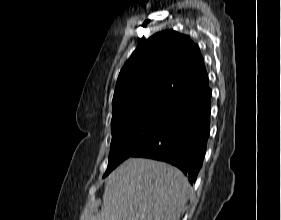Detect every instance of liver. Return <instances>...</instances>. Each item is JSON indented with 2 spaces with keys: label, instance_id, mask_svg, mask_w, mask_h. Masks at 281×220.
I'll list each match as a JSON object with an SVG mask.
<instances>
[{
  "label": "liver",
  "instance_id": "1",
  "mask_svg": "<svg viewBox=\"0 0 281 220\" xmlns=\"http://www.w3.org/2000/svg\"><path fill=\"white\" fill-rule=\"evenodd\" d=\"M190 193L178 168L130 158L108 176L101 211L86 220H179Z\"/></svg>",
  "mask_w": 281,
  "mask_h": 220
}]
</instances>
